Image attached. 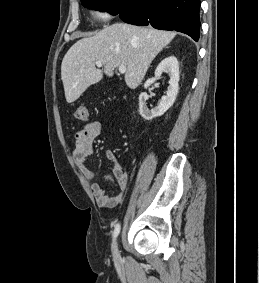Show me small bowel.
Masks as SVG:
<instances>
[{
  "mask_svg": "<svg viewBox=\"0 0 259 283\" xmlns=\"http://www.w3.org/2000/svg\"><path fill=\"white\" fill-rule=\"evenodd\" d=\"M101 130V122L92 121L78 130L74 135L75 147L73 150V159L83 176L89 180L95 179L96 174L86 166L85 162L92 155L94 151V140L101 134ZM104 154L113 163L112 173L109 178L117 181L119 192L116 195L110 196L98 183H93L91 189L99 206L115 207L123 203L127 197L130 187V174L123 170L115 151L107 149Z\"/></svg>",
  "mask_w": 259,
  "mask_h": 283,
  "instance_id": "c3829d8e",
  "label": "small bowel"
}]
</instances>
